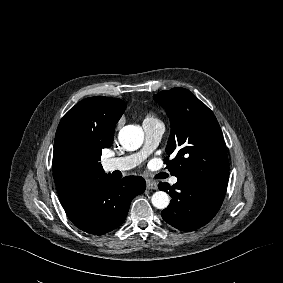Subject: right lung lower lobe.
Returning a JSON list of instances; mask_svg holds the SVG:
<instances>
[{"label": "right lung lower lobe", "mask_w": 283, "mask_h": 283, "mask_svg": "<svg viewBox=\"0 0 283 283\" xmlns=\"http://www.w3.org/2000/svg\"><path fill=\"white\" fill-rule=\"evenodd\" d=\"M145 186L142 177L116 179L111 174H103L89 181L63 208L76 227L102 235L123 223L132 199L143 193Z\"/></svg>", "instance_id": "obj_1"}]
</instances>
